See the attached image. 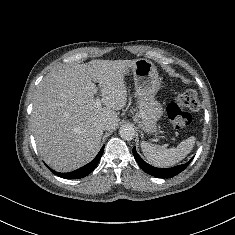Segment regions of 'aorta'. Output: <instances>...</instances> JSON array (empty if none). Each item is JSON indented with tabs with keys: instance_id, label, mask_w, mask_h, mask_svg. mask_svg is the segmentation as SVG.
<instances>
[{
	"instance_id": "762f6f07",
	"label": "aorta",
	"mask_w": 235,
	"mask_h": 235,
	"mask_svg": "<svg viewBox=\"0 0 235 235\" xmlns=\"http://www.w3.org/2000/svg\"><path fill=\"white\" fill-rule=\"evenodd\" d=\"M119 135L122 139L131 141L135 137V130L131 125H123L119 129Z\"/></svg>"
}]
</instances>
